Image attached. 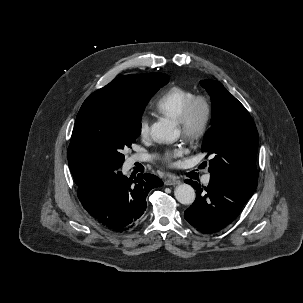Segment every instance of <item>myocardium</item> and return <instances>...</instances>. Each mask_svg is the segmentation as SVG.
Instances as JSON below:
<instances>
[{"label":"myocardium","mask_w":303,"mask_h":303,"mask_svg":"<svg viewBox=\"0 0 303 303\" xmlns=\"http://www.w3.org/2000/svg\"><path fill=\"white\" fill-rule=\"evenodd\" d=\"M212 113V104L207 97L194 96L177 119L183 136L191 141L201 139L209 127Z\"/></svg>","instance_id":"1"}]
</instances>
